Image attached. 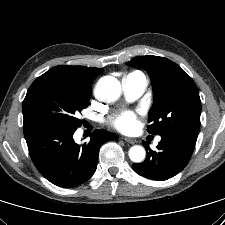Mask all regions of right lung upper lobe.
<instances>
[{
	"mask_svg": "<svg viewBox=\"0 0 225 225\" xmlns=\"http://www.w3.org/2000/svg\"><path fill=\"white\" fill-rule=\"evenodd\" d=\"M101 71L102 69L96 67L60 65L53 67L52 69L38 77L36 80L53 76H65L92 85L94 78Z\"/></svg>",
	"mask_w": 225,
	"mask_h": 225,
	"instance_id": "cb5924a9",
	"label": "right lung upper lobe"
}]
</instances>
